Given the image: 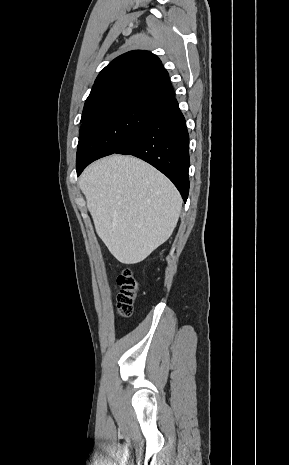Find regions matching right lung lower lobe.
Segmentation results:
<instances>
[{
  "instance_id": "1",
  "label": "right lung lower lobe",
  "mask_w": 289,
  "mask_h": 465,
  "mask_svg": "<svg viewBox=\"0 0 289 465\" xmlns=\"http://www.w3.org/2000/svg\"><path fill=\"white\" fill-rule=\"evenodd\" d=\"M189 135L177 100L162 105L161 112L116 153L136 156L165 174L186 202L189 193ZM94 159L77 164V175Z\"/></svg>"
}]
</instances>
